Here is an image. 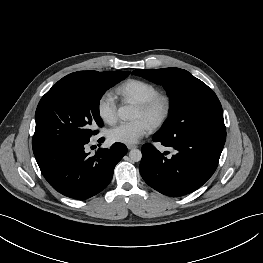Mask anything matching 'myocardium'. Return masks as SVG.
<instances>
[{
  "mask_svg": "<svg viewBox=\"0 0 263 263\" xmlns=\"http://www.w3.org/2000/svg\"><path fill=\"white\" fill-rule=\"evenodd\" d=\"M137 107L146 115L153 128L161 126L172 110V99L167 93L158 92L148 100L140 102Z\"/></svg>",
  "mask_w": 263,
  "mask_h": 263,
  "instance_id": "1",
  "label": "myocardium"
}]
</instances>
